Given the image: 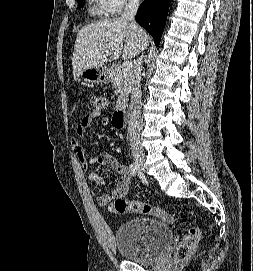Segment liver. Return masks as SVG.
<instances>
[{
    "label": "liver",
    "instance_id": "liver-1",
    "mask_svg": "<svg viewBox=\"0 0 253 271\" xmlns=\"http://www.w3.org/2000/svg\"><path fill=\"white\" fill-rule=\"evenodd\" d=\"M149 42L142 28L122 18L86 25L78 31L74 45V79L77 80L83 70L116 60L121 54L125 60L132 59L146 49Z\"/></svg>",
    "mask_w": 253,
    "mask_h": 271
}]
</instances>
